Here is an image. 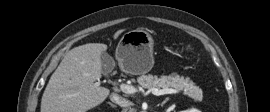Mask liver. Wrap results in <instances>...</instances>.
Returning a JSON list of instances; mask_svg holds the SVG:
<instances>
[{
    "instance_id": "liver-1",
    "label": "liver",
    "mask_w": 270,
    "mask_h": 112,
    "mask_svg": "<svg viewBox=\"0 0 270 112\" xmlns=\"http://www.w3.org/2000/svg\"><path fill=\"white\" fill-rule=\"evenodd\" d=\"M123 32L118 30L114 39ZM102 43L71 49L52 74L41 99V112H86L101 104L110 90L96 82L102 76Z\"/></svg>"
}]
</instances>
